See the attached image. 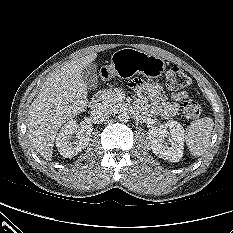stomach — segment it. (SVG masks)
<instances>
[{
  "instance_id": "0dacf381",
  "label": "stomach",
  "mask_w": 233,
  "mask_h": 233,
  "mask_svg": "<svg viewBox=\"0 0 233 233\" xmlns=\"http://www.w3.org/2000/svg\"><path fill=\"white\" fill-rule=\"evenodd\" d=\"M107 71L122 77L138 73L147 78H157L165 71V62L157 56L133 48H123L113 53Z\"/></svg>"
}]
</instances>
